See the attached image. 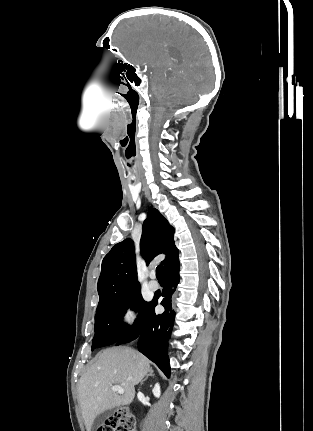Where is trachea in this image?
<instances>
[{
    "label": "trachea",
    "mask_w": 313,
    "mask_h": 431,
    "mask_svg": "<svg viewBox=\"0 0 313 431\" xmlns=\"http://www.w3.org/2000/svg\"><path fill=\"white\" fill-rule=\"evenodd\" d=\"M156 277L158 280L164 279V268L163 265H158L156 268Z\"/></svg>",
    "instance_id": "obj_1"
}]
</instances>
